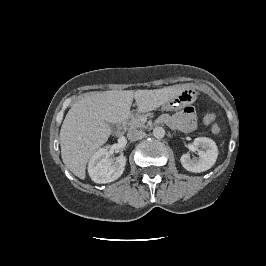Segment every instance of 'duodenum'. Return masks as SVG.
I'll use <instances>...</instances> for the list:
<instances>
[{"label":"duodenum","instance_id":"obj_1","mask_svg":"<svg viewBox=\"0 0 266 266\" xmlns=\"http://www.w3.org/2000/svg\"><path fill=\"white\" fill-rule=\"evenodd\" d=\"M123 132H124V126H123V123H120L117 126L116 133L121 136Z\"/></svg>","mask_w":266,"mask_h":266}]
</instances>
